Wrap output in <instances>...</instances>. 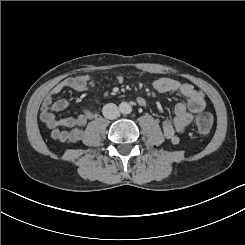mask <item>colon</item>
<instances>
[{
  "instance_id": "colon-1",
  "label": "colon",
  "mask_w": 245,
  "mask_h": 245,
  "mask_svg": "<svg viewBox=\"0 0 245 245\" xmlns=\"http://www.w3.org/2000/svg\"><path fill=\"white\" fill-rule=\"evenodd\" d=\"M213 116L209 112L199 114L195 119V126L199 133L209 134L213 126Z\"/></svg>"
}]
</instances>
